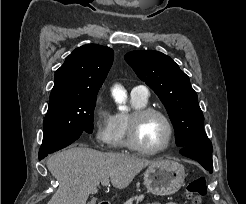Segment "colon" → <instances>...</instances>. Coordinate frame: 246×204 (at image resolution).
<instances>
[{"instance_id": "1", "label": "colon", "mask_w": 246, "mask_h": 204, "mask_svg": "<svg viewBox=\"0 0 246 204\" xmlns=\"http://www.w3.org/2000/svg\"><path fill=\"white\" fill-rule=\"evenodd\" d=\"M207 192V181L203 176L197 177L190 181L186 188L187 196L193 202H199L202 200L204 197H206Z\"/></svg>"}]
</instances>
